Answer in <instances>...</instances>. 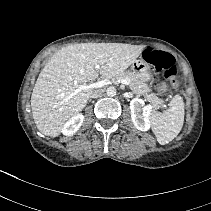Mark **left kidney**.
<instances>
[{
	"label": "left kidney",
	"mask_w": 211,
	"mask_h": 211,
	"mask_svg": "<svg viewBox=\"0 0 211 211\" xmlns=\"http://www.w3.org/2000/svg\"><path fill=\"white\" fill-rule=\"evenodd\" d=\"M130 112L132 122L138 130L148 131L150 129L151 105H145L142 99L134 98L130 102Z\"/></svg>",
	"instance_id": "5707ae66"
}]
</instances>
